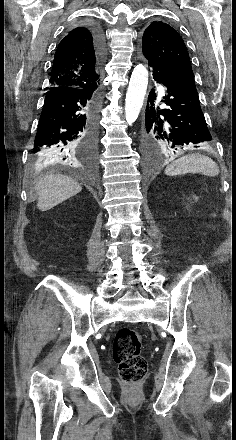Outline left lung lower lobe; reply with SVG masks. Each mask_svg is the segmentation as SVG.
I'll return each mask as SVG.
<instances>
[{
    "instance_id": "left-lung-lower-lobe-1",
    "label": "left lung lower lobe",
    "mask_w": 236,
    "mask_h": 440,
    "mask_svg": "<svg viewBox=\"0 0 236 440\" xmlns=\"http://www.w3.org/2000/svg\"><path fill=\"white\" fill-rule=\"evenodd\" d=\"M152 69L154 80L167 87V95L161 102L169 107L161 109L157 105L154 90L150 91L142 130L148 153H176L210 142L212 136L200 107L193 72Z\"/></svg>"
}]
</instances>
